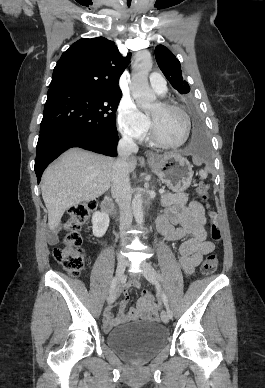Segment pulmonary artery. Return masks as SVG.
<instances>
[{
	"label": "pulmonary artery",
	"mask_w": 265,
	"mask_h": 388,
	"mask_svg": "<svg viewBox=\"0 0 265 388\" xmlns=\"http://www.w3.org/2000/svg\"><path fill=\"white\" fill-rule=\"evenodd\" d=\"M150 81L153 84L154 90H167L169 88L162 75H151Z\"/></svg>",
	"instance_id": "e3ab8cb5"
}]
</instances>
